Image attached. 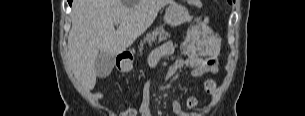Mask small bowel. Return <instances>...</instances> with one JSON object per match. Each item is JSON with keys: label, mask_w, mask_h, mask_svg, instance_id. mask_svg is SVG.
I'll return each mask as SVG.
<instances>
[{"label": "small bowel", "mask_w": 305, "mask_h": 116, "mask_svg": "<svg viewBox=\"0 0 305 116\" xmlns=\"http://www.w3.org/2000/svg\"><path fill=\"white\" fill-rule=\"evenodd\" d=\"M219 52V43L216 39L209 37L201 40L197 50L185 59H176L171 66L162 74L163 79L170 78L177 70L183 67L192 69V76L197 78L203 75H214L218 72V62L216 55ZM174 53V45L172 42H164L150 56V65L156 68L163 57L170 56ZM204 91L207 94H213L216 91V84L212 79H207L203 83ZM152 89V81H148L144 87L142 100L139 104L140 116H151L150 112V94ZM186 106L190 110L199 108L198 99L195 96L186 98ZM171 108L176 116H201L197 112H186L183 110L180 101L174 100Z\"/></svg>", "instance_id": "c3829d8e"}]
</instances>
